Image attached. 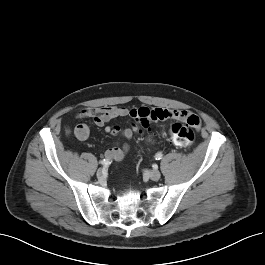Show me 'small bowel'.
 Returning a JSON list of instances; mask_svg holds the SVG:
<instances>
[{
    "label": "small bowel",
    "instance_id": "small-bowel-1",
    "mask_svg": "<svg viewBox=\"0 0 265 265\" xmlns=\"http://www.w3.org/2000/svg\"><path fill=\"white\" fill-rule=\"evenodd\" d=\"M149 109L141 108H127L124 106H103L95 109L84 108L80 110L76 117L81 118H92L94 123L99 127H104L106 133L112 136H122L127 140L132 139L136 134L139 133L141 127H147L149 125ZM165 112L163 119L171 118L177 119L186 123L190 122V117L198 119L196 128L200 126L199 118L188 110H162ZM116 117H130L133 121L127 128H122L119 125H107V123ZM75 136L80 141H85L89 137V127L85 124H79L75 128ZM130 151V145L124 144L120 146L115 143L113 147L105 151L104 157L108 160H122Z\"/></svg>",
    "mask_w": 265,
    "mask_h": 265
}]
</instances>
